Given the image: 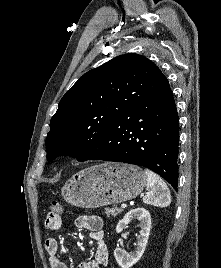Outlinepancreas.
Listing matches in <instances>:
<instances>
[{"instance_id":"pancreas-1","label":"pancreas","mask_w":221,"mask_h":268,"mask_svg":"<svg viewBox=\"0 0 221 268\" xmlns=\"http://www.w3.org/2000/svg\"><path fill=\"white\" fill-rule=\"evenodd\" d=\"M122 212V209L117 208V207H113V208H106V215L108 217L112 216V217H116L118 214H120Z\"/></svg>"}]
</instances>
